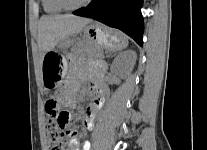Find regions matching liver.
Wrapping results in <instances>:
<instances>
[{
	"mask_svg": "<svg viewBox=\"0 0 207 150\" xmlns=\"http://www.w3.org/2000/svg\"><path fill=\"white\" fill-rule=\"evenodd\" d=\"M91 21L73 15L43 16L38 24V46L42 56L59 42L80 33Z\"/></svg>",
	"mask_w": 207,
	"mask_h": 150,
	"instance_id": "1",
	"label": "liver"
}]
</instances>
